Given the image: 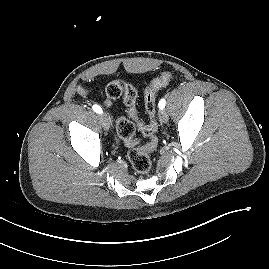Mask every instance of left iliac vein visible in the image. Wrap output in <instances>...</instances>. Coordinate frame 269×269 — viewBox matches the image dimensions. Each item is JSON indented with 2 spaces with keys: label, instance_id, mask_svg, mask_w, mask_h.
Listing matches in <instances>:
<instances>
[{
  "label": "left iliac vein",
  "instance_id": "4c4485c4",
  "mask_svg": "<svg viewBox=\"0 0 269 269\" xmlns=\"http://www.w3.org/2000/svg\"><path fill=\"white\" fill-rule=\"evenodd\" d=\"M169 119V116H168V113L165 111V110H160L159 112V120L162 122V123H166Z\"/></svg>",
  "mask_w": 269,
  "mask_h": 269
}]
</instances>
